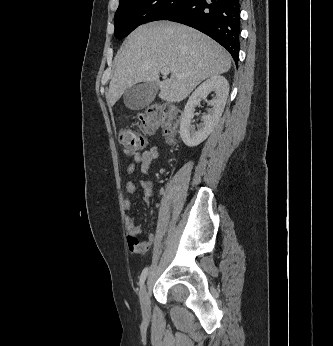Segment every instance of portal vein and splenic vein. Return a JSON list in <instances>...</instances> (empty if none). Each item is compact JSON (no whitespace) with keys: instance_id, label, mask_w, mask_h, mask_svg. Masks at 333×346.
<instances>
[{"instance_id":"portal-vein-and-splenic-vein-1","label":"portal vein and splenic vein","mask_w":333,"mask_h":346,"mask_svg":"<svg viewBox=\"0 0 333 346\" xmlns=\"http://www.w3.org/2000/svg\"><path fill=\"white\" fill-rule=\"evenodd\" d=\"M161 73H162L164 76H167V75L170 73V70H169V68L164 67V68H162Z\"/></svg>"}]
</instances>
